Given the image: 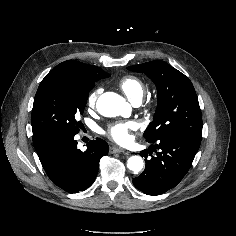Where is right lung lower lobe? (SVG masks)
<instances>
[{"instance_id":"98d812e1","label":"right lung lower lobe","mask_w":236,"mask_h":236,"mask_svg":"<svg viewBox=\"0 0 236 236\" xmlns=\"http://www.w3.org/2000/svg\"><path fill=\"white\" fill-rule=\"evenodd\" d=\"M40 162L52 182L68 193L85 190L94 182L100 158L109 151L100 139L91 140L87 149L77 148L74 135L42 133L33 135Z\"/></svg>"}]
</instances>
